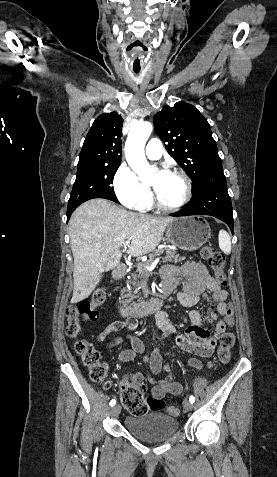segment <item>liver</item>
<instances>
[{
    "instance_id": "obj_1",
    "label": "liver",
    "mask_w": 277,
    "mask_h": 477,
    "mask_svg": "<svg viewBox=\"0 0 277 477\" xmlns=\"http://www.w3.org/2000/svg\"><path fill=\"white\" fill-rule=\"evenodd\" d=\"M173 217H157L122 209L106 199L80 205L69 220L74 257L72 303L87 298L103 272L118 266L120 247L131 240L127 253L145 255L159 245Z\"/></svg>"
}]
</instances>
